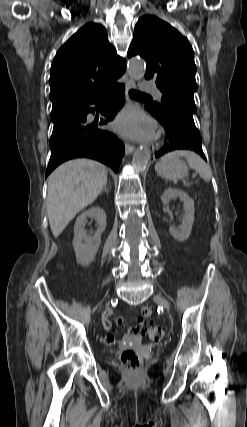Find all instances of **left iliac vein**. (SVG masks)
Wrapping results in <instances>:
<instances>
[{
  "instance_id": "left-iliac-vein-1",
  "label": "left iliac vein",
  "mask_w": 247,
  "mask_h": 427,
  "mask_svg": "<svg viewBox=\"0 0 247 427\" xmlns=\"http://www.w3.org/2000/svg\"><path fill=\"white\" fill-rule=\"evenodd\" d=\"M153 299L155 302L161 304L168 312L171 310L170 303L162 295H155Z\"/></svg>"
}]
</instances>
